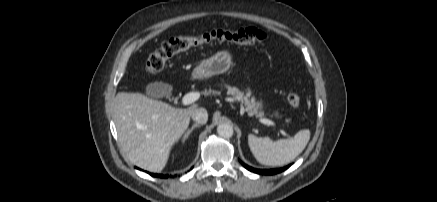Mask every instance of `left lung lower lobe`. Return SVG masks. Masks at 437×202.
Listing matches in <instances>:
<instances>
[{
    "label": "left lung lower lobe",
    "instance_id": "obj_1",
    "mask_svg": "<svg viewBox=\"0 0 437 202\" xmlns=\"http://www.w3.org/2000/svg\"><path fill=\"white\" fill-rule=\"evenodd\" d=\"M240 163H241V164H242V165H243L247 170H249V171H251V172H254V173H257V174H264V175H273V174H277V173L283 172L284 170H286L287 168L290 167V165H288V166H286V167L279 168V169H270V170H267V169H255V168H253V167H250V166L244 164V163L241 162V161H240Z\"/></svg>",
    "mask_w": 437,
    "mask_h": 202
}]
</instances>
